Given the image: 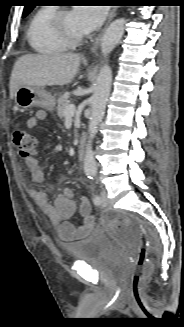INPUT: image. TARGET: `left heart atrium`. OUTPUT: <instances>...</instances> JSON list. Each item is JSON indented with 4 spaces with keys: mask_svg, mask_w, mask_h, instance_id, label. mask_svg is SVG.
I'll return each mask as SVG.
<instances>
[{
    "mask_svg": "<svg viewBox=\"0 0 184 327\" xmlns=\"http://www.w3.org/2000/svg\"><path fill=\"white\" fill-rule=\"evenodd\" d=\"M72 12L84 33L96 30L102 24L106 15L105 8L96 7L95 5L76 7Z\"/></svg>",
    "mask_w": 184,
    "mask_h": 327,
    "instance_id": "39dd6f15",
    "label": "left heart atrium"
}]
</instances>
